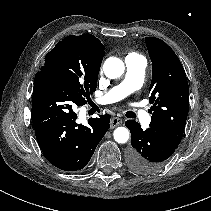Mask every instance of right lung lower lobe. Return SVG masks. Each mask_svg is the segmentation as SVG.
I'll list each match as a JSON object with an SVG mask.
<instances>
[{"instance_id": "1", "label": "right lung lower lobe", "mask_w": 211, "mask_h": 211, "mask_svg": "<svg viewBox=\"0 0 211 211\" xmlns=\"http://www.w3.org/2000/svg\"><path fill=\"white\" fill-rule=\"evenodd\" d=\"M86 100L70 88L45 76H35L31 119L38 144L48 161L64 171L84 168L110 128L108 114L76 123V106Z\"/></svg>"}]
</instances>
